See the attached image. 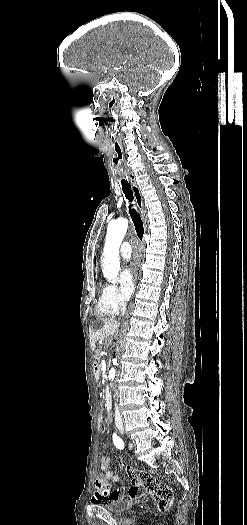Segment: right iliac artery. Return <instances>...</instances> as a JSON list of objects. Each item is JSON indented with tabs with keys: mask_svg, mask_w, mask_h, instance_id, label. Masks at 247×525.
Masks as SVG:
<instances>
[{
	"mask_svg": "<svg viewBox=\"0 0 247 525\" xmlns=\"http://www.w3.org/2000/svg\"><path fill=\"white\" fill-rule=\"evenodd\" d=\"M113 442H114V444H115V446H116L117 448H119V449H123V448H124V442H123V440H122L121 438H119V437L117 436V434H115V433L113 434Z\"/></svg>",
	"mask_w": 247,
	"mask_h": 525,
	"instance_id": "obj_1",
	"label": "right iliac artery"
}]
</instances>
